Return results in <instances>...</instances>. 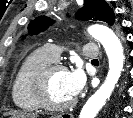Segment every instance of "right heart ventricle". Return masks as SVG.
Listing matches in <instances>:
<instances>
[{"mask_svg": "<svg viewBox=\"0 0 133 118\" xmlns=\"http://www.w3.org/2000/svg\"><path fill=\"white\" fill-rule=\"evenodd\" d=\"M52 62L43 49L34 51L25 59L12 84V100L17 108L25 112H33L40 108L34 93L35 79Z\"/></svg>", "mask_w": 133, "mask_h": 118, "instance_id": "e07e8e85", "label": "right heart ventricle"}]
</instances>
